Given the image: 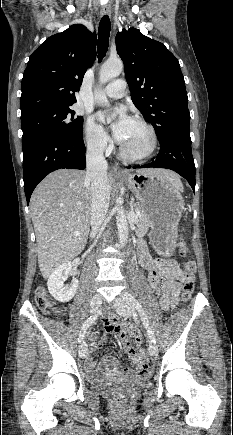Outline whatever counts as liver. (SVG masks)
<instances>
[{
	"mask_svg": "<svg viewBox=\"0 0 233 435\" xmlns=\"http://www.w3.org/2000/svg\"><path fill=\"white\" fill-rule=\"evenodd\" d=\"M136 172L164 177L182 189L179 176L170 170L150 168ZM107 178L111 189L114 178L111 174ZM30 212L39 268L42 276L48 278L56 268L78 256L87 243L91 188L85 171L59 169L50 173L35 188Z\"/></svg>",
	"mask_w": 233,
	"mask_h": 435,
	"instance_id": "liver-1",
	"label": "liver"
}]
</instances>
